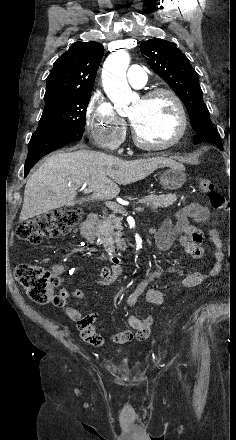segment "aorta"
Listing matches in <instances>:
<instances>
[{"label": "aorta", "mask_w": 236, "mask_h": 440, "mask_svg": "<svg viewBox=\"0 0 236 440\" xmlns=\"http://www.w3.org/2000/svg\"><path fill=\"white\" fill-rule=\"evenodd\" d=\"M130 63V56L125 50L112 53L104 62L102 83L109 99L118 113L127 110L128 105L135 99L127 79L126 71Z\"/></svg>", "instance_id": "obj_1"}]
</instances>
